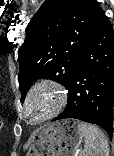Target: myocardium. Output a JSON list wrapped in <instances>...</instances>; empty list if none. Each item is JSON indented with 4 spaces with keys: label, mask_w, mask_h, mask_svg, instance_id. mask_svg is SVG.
Listing matches in <instances>:
<instances>
[{
    "label": "myocardium",
    "mask_w": 114,
    "mask_h": 156,
    "mask_svg": "<svg viewBox=\"0 0 114 156\" xmlns=\"http://www.w3.org/2000/svg\"><path fill=\"white\" fill-rule=\"evenodd\" d=\"M40 91H46L50 95L52 105L50 109L39 116L32 114L31 105L35 96ZM67 104V93L65 88L56 80L42 78L33 83L25 94L22 101L23 116L30 125H37L58 115Z\"/></svg>",
    "instance_id": "f54148a6"
}]
</instances>
